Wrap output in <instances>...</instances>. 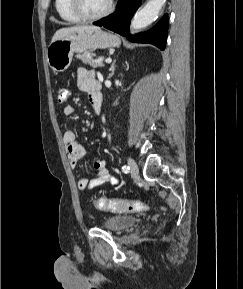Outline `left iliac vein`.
Here are the masks:
<instances>
[{
	"label": "left iliac vein",
	"mask_w": 243,
	"mask_h": 289,
	"mask_svg": "<svg viewBox=\"0 0 243 289\" xmlns=\"http://www.w3.org/2000/svg\"><path fill=\"white\" fill-rule=\"evenodd\" d=\"M128 166L130 168V173L132 174V176L136 177L139 174V168L138 165L136 164V162L133 159H129L128 160Z\"/></svg>",
	"instance_id": "obj_1"
}]
</instances>
